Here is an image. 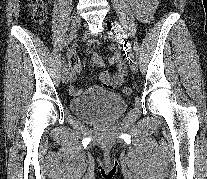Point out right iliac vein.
Masks as SVG:
<instances>
[{
    "mask_svg": "<svg viewBox=\"0 0 207 179\" xmlns=\"http://www.w3.org/2000/svg\"><path fill=\"white\" fill-rule=\"evenodd\" d=\"M81 24V19L79 16H74L71 22V34L70 36L75 37ZM70 80V74L68 69L62 72V82L67 84Z\"/></svg>",
    "mask_w": 207,
    "mask_h": 179,
    "instance_id": "1",
    "label": "right iliac vein"
}]
</instances>
